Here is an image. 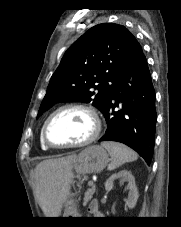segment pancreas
I'll return each instance as SVG.
<instances>
[{
    "label": "pancreas",
    "instance_id": "cf45deb5",
    "mask_svg": "<svg viewBox=\"0 0 181 227\" xmlns=\"http://www.w3.org/2000/svg\"><path fill=\"white\" fill-rule=\"evenodd\" d=\"M95 193V186H92L89 188L84 195V205H87V203L92 199L93 194Z\"/></svg>",
    "mask_w": 181,
    "mask_h": 227
}]
</instances>
